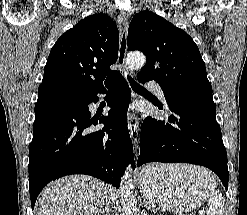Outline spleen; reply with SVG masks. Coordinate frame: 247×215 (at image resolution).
I'll return each instance as SVG.
<instances>
[{
	"mask_svg": "<svg viewBox=\"0 0 247 215\" xmlns=\"http://www.w3.org/2000/svg\"><path fill=\"white\" fill-rule=\"evenodd\" d=\"M209 215H223L224 199L219 190L211 189L208 195Z\"/></svg>",
	"mask_w": 247,
	"mask_h": 215,
	"instance_id": "obj_1",
	"label": "spleen"
}]
</instances>
